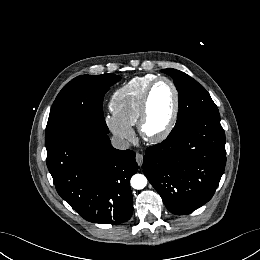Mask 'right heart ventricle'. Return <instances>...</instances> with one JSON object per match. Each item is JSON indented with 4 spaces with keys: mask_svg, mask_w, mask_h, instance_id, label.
I'll return each instance as SVG.
<instances>
[{
    "mask_svg": "<svg viewBox=\"0 0 260 260\" xmlns=\"http://www.w3.org/2000/svg\"><path fill=\"white\" fill-rule=\"evenodd\" d=\"M156 78L152 74L135 77L115 90L110 98L113 114L129 126L136 125L144 93Z\"/></svg>",
    "mask_w": 260,
    "mask_h": 260,
    "instance_id": "e07e8e85",
    "label": "right heart ventricle"
}]
</instances>
